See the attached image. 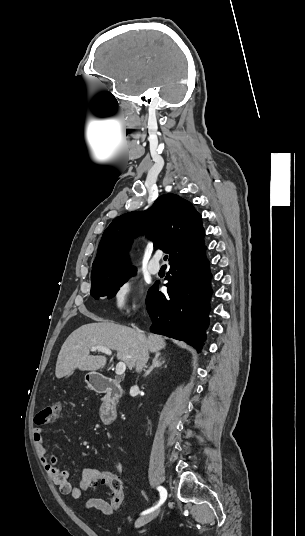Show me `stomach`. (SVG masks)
Returning <instances> with one entry per match:
<instances>
[{"label": "stomach", "mask_w": 305, "mask_h": 536, "mask_svg": "<svg viewBox=\"0 0 305 536\" xmlns=\"http://www.w3.org/2000/svg\"><path fill=\"white\" fill-rule=\"evenodd\" d=\"M92 380H95V384H92ZM85 382H87L89 386H96V384H100L101 378L99 374H86Z\"/></svg>", "instance_id": "0dacf381"}]
</instances>
